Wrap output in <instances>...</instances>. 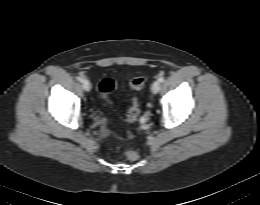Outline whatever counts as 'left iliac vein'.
I'll list each match as a JSON object with an SVG mask.
<instances>
[{
	"instance_id": "left-iliac-vein-1",
	"label": "left iliac vein",
	"mask_w": 260,
	"mask_h": 205,
	"mask_svg": "<svg viewBox=\"0 0 260 205\" xmlns=\"http://www.w3.org/2000/svg\"><path fill=\"white\" fill-rule=\"evenodd\" d=\"M151 90L154 94H157L160 90V82L159 81L153 82V84L151 86Z\"/></svg>"
}]
</instances>
